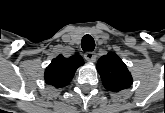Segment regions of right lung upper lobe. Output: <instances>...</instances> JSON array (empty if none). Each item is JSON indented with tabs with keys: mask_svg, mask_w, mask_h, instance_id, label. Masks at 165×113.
I'll use <instances>...</instances> for the list:
<instances>
[{
	"mask_svg": "<svg viewBox=\"0 0 165 113\" xmlns=\"http://www.w3.org/2000/svg\"><path fill=\"white\" fill-rule=\"evenodd\" d=\"M46 81L50 84L60 86L66 82L72 74L70 59H66L61 55L53 59L49 67L46 69ZM66 77V79H64ZM62 79H64L62 81Z\"/></svg>",
	"mask_w": 165,
	"mask_h": 113,
	"instance_id": "obj_1",
	"label": "right lung upper lobe"
}]
</instances>
